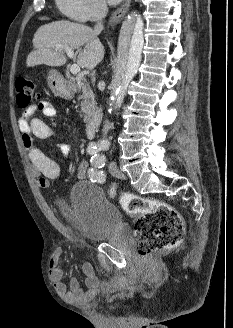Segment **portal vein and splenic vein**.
Segmentation results:
<instances>
[{
	"label": "portal vein and splenic vein",
	"instance_id": "obj_1",
	"mask_svg": "<svg viewBox=\"0 0 233 328\" xmlns=\"http://www.w3.org/2000/svg\"><path fill=\"white\" fill-rule=\"evenodd\" d=\"M55 47H56L57 49H65V51H66L68 57H70V58H73V57H74V51H73L72 48H70V47H68V46H63V45H61V44H56ZM70 71H71V73H72L73 75H78V74H80V67H79V65H76V64L72 65L71 68H70Z\"/></svg>",
	"mask_w": 233,
	"mask_h": 328
}]
</instances>
